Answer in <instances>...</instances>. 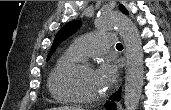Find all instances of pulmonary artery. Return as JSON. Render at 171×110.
<instances>
[{
	"label": "pulmonary artery",
	"mask_w": 171,
	"mask_h": 110,
	"mask_svg": "<svg viewBox=\"0 0 171 110\" xmlns=\"http://www.w3.org/2000/svg\"><path fill=\"white\" fill-rule=\"evenodd\" d=\"M115 36L111 33H92L77 38L72 48L83 58L105 53L113 44Z\"/></svg>",
	"instance_id": "pulmonary-artery-1"
}]
</instances>
